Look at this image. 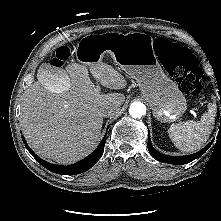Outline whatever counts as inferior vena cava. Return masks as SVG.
I'll use <instances>...</instances> for the list:
<instances>
[{
    "mask_svg": "<svg viewBox=\"0 0 221 221\" xmlns=\"http://www.w3.org/2000/svg\"><path fill=\"white\" fill-rule=\"evenodd\" d=\"M119 110H120V105L118 104L108 105L102 109V115L103 117H110L118 113Z\"/></svg>",
    "mask_w": 221,
    "mask_h": 221,
    "instance_id": "1",
    "label": "inferior vena cava"
}]
</instances>
